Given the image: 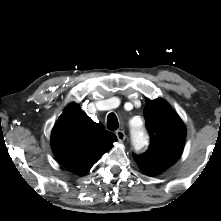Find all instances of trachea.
Masks as SVG:
<instances>
[{
	"label": "trachea",
	"mask_w": 221,
	"mask_h": 221,
	"mask_svg": "<svg viewBox=\"0 0 221 221\" xmlns=\"http://www.w3.org/2000/svg\"><path fill=\"white\" fill-rule=\"evenodd\" d=\"M118 127H119V122L116 115L114 113H110L107 116V128L109 130H116L118 129Z\"/></svg>",
	"instance_id": "1"
}]
</instances>
